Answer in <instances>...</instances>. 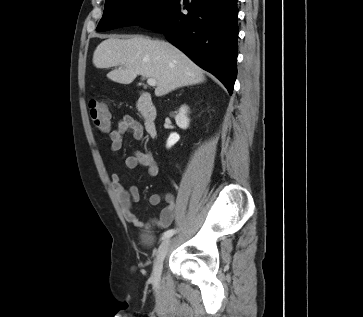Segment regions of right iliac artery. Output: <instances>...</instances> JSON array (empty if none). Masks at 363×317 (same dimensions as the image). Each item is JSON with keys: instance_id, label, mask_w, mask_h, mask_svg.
Masks as SVG:
<instances>
[{"instance_id": "82829eb1", "label": "right iliac artery", "mask_w": 363, "mask_h": 317, "mask_svg": "<svg viewBox=\"0 0 363 317\" xmlns=\"http://www.w3.org/2000/svg\"><path fill=\"white\" fill-rule=\"evenodd\" d=\"M175 232H176V230H175V229H169V230H167V231L163 234V236H162V240H163V239H167V238L171 237V236H172Z\"/></svg>"}]
</instances>
